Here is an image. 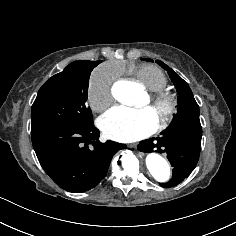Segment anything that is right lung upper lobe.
<instances>
[{"mask_svg": "<svg viewBox=\"0 0 236 236\" xmlns=\"http://www.w3.org/2000/svg\"><path fill=\"white\" fill-rule=\"evenodd\" d=\"M85 62H88V63H96L97 61H85Z\"/></svg>", "mask_w": 236, "mask_h": 236, "instance_id": "obj_1", "label": "right lung upper lobe"}]
</instances>
